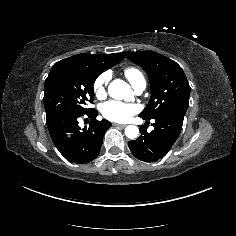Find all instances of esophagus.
<instances>
[{"mask_svg":"<svg viewBox=\"0 0 236 236\" xmlns=\"http://www.w3.org/2000/svg\"><path fill=\"white\" fill-rule=\"evenodd\" d=\"M113 126H116V127H125L126 125L125 124H119V123H113Z\"/></svg>","mask_w":236,"mask_h":236,"instance_id":"esophagus-1","label":"esophagus"}]
</instances>
